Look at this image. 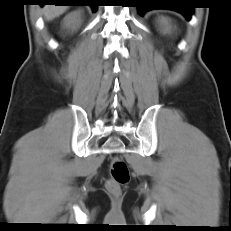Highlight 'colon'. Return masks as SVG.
Listing matches in <instances>:
<instances>
[{"label": "colon", "instance_id": "1", "mask_svg": "<svg viewBox=\"0 0 231 231\" xmlns=\"http://www.w3.org/2000/svg\"><path fill=\"white\" fill-rule=\"evenodd\" d=\"M130 172L127 164L120 158H113L110 164V177L106 181V189L119 194L121 187L129 182Z\"/></svg>", "mask_w": 231, "mask_h": 231}]
</instances>
